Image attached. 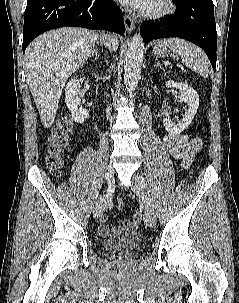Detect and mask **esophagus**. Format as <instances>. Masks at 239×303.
I'll use <instances>...</instances> for the list:
<instances>
[{
    "label": "esophagus",
    "mask_w": 239,
    "mask_h": 303,
    "mask_svg": "<svg viewBox=\"0 0 239 303\" xmlns=\"http://www.w3.org/2000/svg\"><path fill=\"white\" fill-rule=\"evenodd\" d=\"M124 23H125L126 31L128 33H131L134 30V22L131 19V17L125 14L124 15Z\"/></svg>",
    "instance_id": "34e87169"
}]
</instances>
